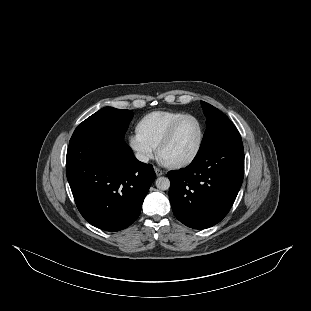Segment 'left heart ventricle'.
<instances>
[{"mask_svg": "<svg viewBox=\"0 0 311 311\" xmlns=\"http://www.w3.org/2000/svg\"><path fill=\"white\" fill-rule=\"evenodd\" d=\"M201 137V125L195 118H188L178 128L169 146L162 152V159L167 163L185 161L195 153Z\"/></svg>", "mask_w": 311, "mask_h": 311, "instance_id": "obj_1", "label": "left heart ventricle"}]
</instances>
